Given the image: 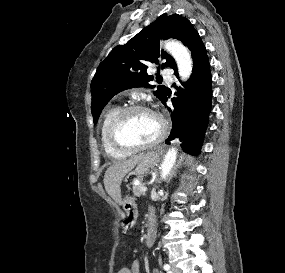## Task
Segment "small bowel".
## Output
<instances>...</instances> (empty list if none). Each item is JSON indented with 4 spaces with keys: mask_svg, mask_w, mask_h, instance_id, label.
<instances>
[{
    "mask_svg": "<svg viewBox=\"0 0 285 273\" xmlns=\"http://www.w3.org/2000/svg\"><path fill=\"white\" fill-rule=\"evenodd\" d=\"M125 273H141V265L139 261H133L130 267H124Z\"/></svg>",
    "mask_w": 285,
    "mask_h": 273,
    "instance_id": "1",
    "label": "small bowel"
}]
</instances>
